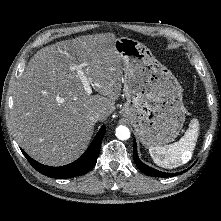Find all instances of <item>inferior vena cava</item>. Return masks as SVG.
<instances>
[{
    "label": "inferior vena cava",
    "mask_w": 221,
    "mask_h": 221,
    "mask_svg": "<svg viewBox=\"0 0 221 221\" xmlns=\"http://www.w3.org/2000/svg\"><path fill=\"white\" fill-rule=\"evenodd\" d=\"M101 118V113L99 111H92L90 114H89V119L92 121V122H97L98 120H100Z\"/></svg>",
    "instance_id": "obj_1"
}]
</instances>
